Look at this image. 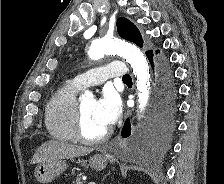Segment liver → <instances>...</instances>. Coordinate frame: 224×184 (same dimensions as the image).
Returning a JSON list of instances; mask_svg holds the SVG:
<instances>
[{
    "instance_id": "liver-1",
    "label": "liver",
    "mask_w": 224,
    "mask_h": 184,
    "mask_svg": "<svg viewBox=\"0 0 224 184\" xmlns=\"http://www.w3.org/2000/svg\"><path fill=\"white\" fill-rule=\"evenodd\" d=\"M92 151V148L51 140L43 143L37 149V151L33 155L31 164H40L47 161L84 156L91 153Z\"/></svg>"
}]
</instances>
